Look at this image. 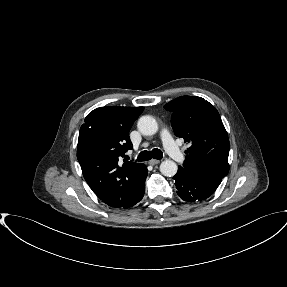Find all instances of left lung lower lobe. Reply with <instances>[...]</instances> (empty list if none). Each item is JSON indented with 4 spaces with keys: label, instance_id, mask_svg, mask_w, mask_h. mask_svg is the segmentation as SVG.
Listing matches in <instances>:
<instances>
[{
    "label": "left lung lower lobe",
    "instance_id": "1",
    "mask_svg": "<svg viewBox=\"0 0 287 287\" xmlns=\"http://www.w3.org/2000/svg\"><path fill=\"white\" fill-rule=\"evenodd\" d=\"M177 194L184 201H202L210 197L218 188L221 180L194 177L187 174L183 169L178 168V172L173 177Z\"/></svg>",
    "mask_w": 287,
    "mask_h": 287
}]
</instances>
